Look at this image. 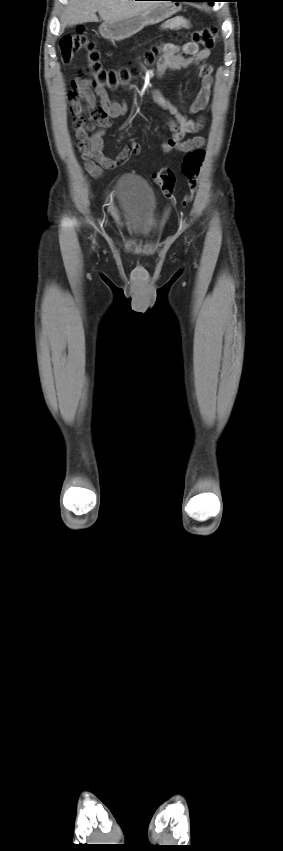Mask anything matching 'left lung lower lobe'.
<instances>
[{
	"instance_id": "0a47b994",
	"label": "left lung lower lobe",
	"mask_w": 283,
	"mask_h": 851,
	"mask_svg": "<svg viewBox=\"0 0 283 851\" xmlns=\"http://www.w3.org/2000/svg\"><path fill=\"white\" fill-rule=\"evenodd\" d=\"M172 1H206V2H209L210 4H213V2H214V0H172Z\"/></svg>"
}]
</instances>
